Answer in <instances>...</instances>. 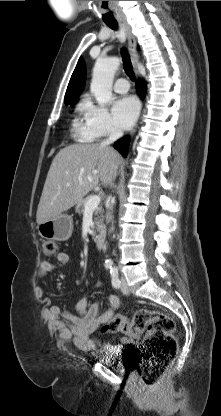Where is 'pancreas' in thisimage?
Masks as SVG:
<instances>
[{
  "label": "pancreas",
  "mask_w": 221,
  "mask_h": 416,
  "mask_svg": "<svg viewBox=\"0 0 221 416\" xmlns=\"http://www.w3.org/2000/svg\"><path fill=\"white\" fill-rule=\"evenodd\" d=\"M90 197H92V196L90 195V196L86 197L85 199L80 200L77 203L76 208H75L76 213H78L79 215H81V214L84 213V211H85V204L89 200ZM103 212H104V210L102 208V205H100L99 207H97L94 210V216H95L94 223L98 227H100L102 225V223H103V218H104L103 217Z\"/></svg>",
  "instance_id": "pancreas-1"
}]
</instances>
